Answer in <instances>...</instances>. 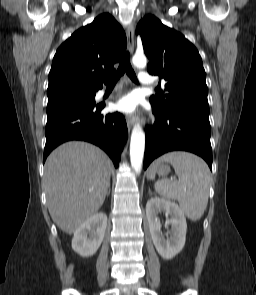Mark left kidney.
<instances>
[{
	"instance_id": "obj_1",
	"label": "left kidney",
	"mask_w": 256,
	"mask_h": 295,
	"mask_svg": "<svg viewBox=\"0 0 256 295\" xmlns=\"http://www.w3.org/2000/svg\"><path fill=\"white\" fill-rule=\"evenodd\" d=\"M164 212L170 216L165 225H171L167 239L161 233V223L158 214ZM146 216L154 246L159 255L166 259L174 258L184 247L187 223L182 209L170 200L153 197L146 204Z\"/></svg>"
}]
</instances>
